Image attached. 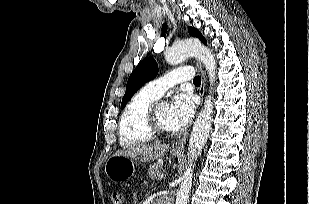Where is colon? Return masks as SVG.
Wrapping results in <instances>:
<instances>
[{
    "instance_id": "colon-1",
    "label": "colon",
    "mask_w": 309,
    "mask_h": 204,
    "mask_svg": "<svg viewBox=\"0 0 309 204\" xmlns=\"http://www.w3.org/2000/svg\"><path fill=\"white\" fill-rule=\"evenodd\" d=\"M112 204H122V195L119 192H113L111 195Z\"/></svg>"
}]
</instances>
